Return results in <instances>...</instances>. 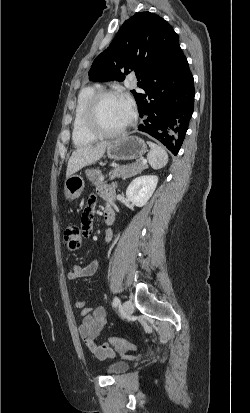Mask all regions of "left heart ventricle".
<instances>
[{
  "label": "left heart ventricle",
  "instance_id": "left-heart-ventricle-1",
  "mask_svg": "<svg viewBox=\"0 0 250 413\" xmlns=\"http://www.w3.org/2000/svg\"><path fill=\"white\" fill-rule=\"evenodd\" d=\"M99 121L101 126L107 131L119 130L130 122L120 97L106 98L101 102Z\"/></svg>",
  "mask_w": 250,
  "mask_h": 413
}]
</instances>
